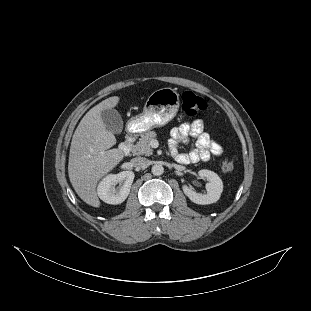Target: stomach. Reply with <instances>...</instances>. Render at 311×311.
I'll return each instance as SVG.
<instances>
[{
	"mask_svg": "<svg viewBox=\"0 0 311 311\" xmlns=\"http://www.w3.org/2000/svg\"><path fill=\"white\" fill-rule=\"evenodd\" d=\"M179 107V94L174 89L169 87L158 89L146 100L143 112L127 121L125 130L133 136L146 134L174 119Z\"/></svg>",
	"mask_w": 311,
	"mask_h": 311,
	"instance_id": "0dacf381",
	"label": "stomach"
}]
</instances>
